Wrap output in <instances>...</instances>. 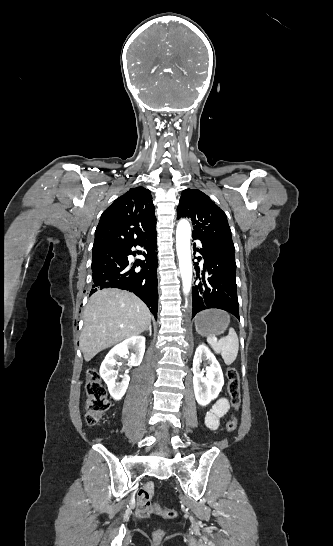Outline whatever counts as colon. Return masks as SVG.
<instances>
[{
    "instance_id": "obj_1",
    "label": "colon",
    "mask_w": 333,
    "mask_h": 546,
    "mask_svg": "<svg viewBox=\"0 0 333 546\" xmlns=\"http://www.w3.org/2000/svg\"><path fill=\"white\" fill-rule=\"evenodd\" d=\"M227 377V392L232 407L237 410L241 404L240 379L238 371L229 367L226 370ZM86 422L89 426L97 425L104 414L110 407V401L107 397V390L104 386L99 373L96 369H90L87 373L86 384ZM237 427V420L233 417L226 423V430L233 432ZM154 509L157 514L165 519H174L178 516V511L175 509H167L161 507L158 503H154ZM155 537L161 539L163 531L157 530Z\"/></svg>"
}]
</instances>
